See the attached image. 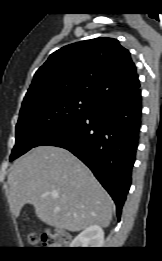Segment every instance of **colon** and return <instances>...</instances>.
Segmentation results:
<instances>
[{"label": "colon", "mask_w": 162, "mask_h": 261, "mask_svg": "<svg viewBox=\"0 0 162 261\" xmlns=\"http://www.w3.org/2000/svg\"><path fill=\"white\" fill-rule=\"evenodd\" d=\"M31 244H37L39 237L36 235H30L28 238ZM42 244L50 249H63L67 246L65 238L57 232L44 233L42 236Z\"/></svg>", "instance_id": "obj_1"}]
</instances>
